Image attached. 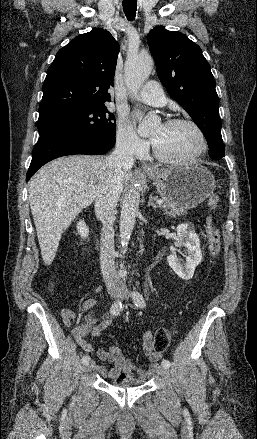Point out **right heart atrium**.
<instances>
[{
  "mask_svg": "<svg viewBox=\"0 0 257 439\" xmlns=\"http://www.w3.org/2000/svg\"><path fill=\"white\" fill-rule=\"evenodd\" d=\"M115 142L117 149L130 157H141L148 149V142L140 138L134 126L124 118L118 120Z\"/></svg>",
  "mask_w": 257,
  "mask_h": 439,
  "instance_id": "1",
  "label": "right heart atrium"
}]
</instances>
